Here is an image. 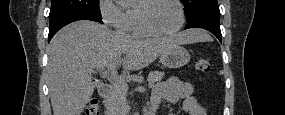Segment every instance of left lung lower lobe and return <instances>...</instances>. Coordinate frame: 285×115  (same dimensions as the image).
<instances>
[{"mask_svg": "<svg viewBox=\"0 0 285 115\" xmlns=\"http://www.w3.org/2000/svg\"><path fill=\"white\" fill-rule=\"evenodd\" d=\"M188 28H204L213 33L221 42V30H220V11L217 4H209L200 7L187 17Z\"/></svg>", "mask_w": 285, "mask_h": 115, "instance_id": "left-lung-lower-lobe-1", "label": "left lung lower lobe"}]
</instances>
